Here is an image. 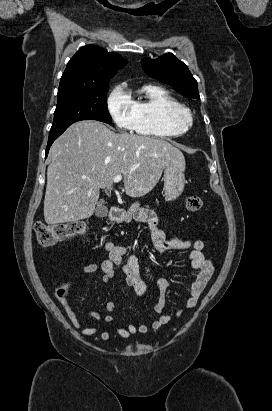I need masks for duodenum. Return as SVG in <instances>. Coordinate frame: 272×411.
Masks as SVG:
<instances>
[{"label": "duodenum", "mask_w": 272, "mask_h": 411, "mask_svg": "<svg viewBox=\"0 0 272 411\" xmlns=\"http://www.w3.org/2000/svg\"><path fill=\"white\" fill-rule=\"evenodd\" d=\"M122 212H123V210H122L121 207L112 206L109 209L108 216H109L110 219L115 220L117 217H119L122 214Z\"/></svg>", "instance_id": "410a0bca"}]
</instances>
